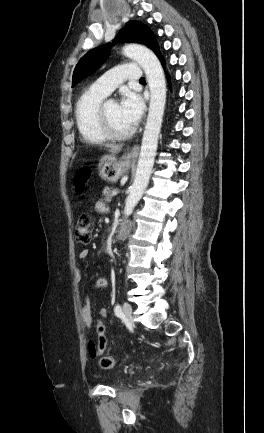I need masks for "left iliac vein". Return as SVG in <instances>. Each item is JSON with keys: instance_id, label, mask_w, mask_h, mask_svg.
Returning <instances> with one entry per match:
<instances>
[{"instance_id": "left-iliac-vein-1", "label": "left iliac vein", "mask_w": 264, "mask_h": 433, "mask_svg": "<svg viewBox=\"0 0 264 433\" xmlns=\"http://www.w3.org/2000/svg\"><path fill=\"white\" fill-rule=\"evenodd\" d=\"M123 313H124L125 318H126L128 321H130V320H131V317H132V307H131V305H130L129 303H127V302H125V303L123 304Z\"/></svg>"}]
</instances>
